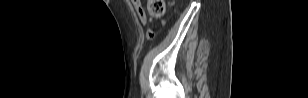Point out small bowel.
<instances>
[{
	"mask_svg": "<svg viewBox=\"0 0 308 98\" xmlns=\"http://www.w3.org/2000/svg\"><path fill=\"white\" fill-rule=\"evenodd\" d=\"M132 4L135 8V11L138 15V18L140 20V22L143 24V25H146L147 24V15H146V12L141 4V1L140 0H133L132 1ZM150 32V31H149Z\"/></svg>",
	"mask_w": 308,
	"mask_h": 98,
	"instance_id": "c3829d8e",
	"label": "small bowel"
}]
</instances>
